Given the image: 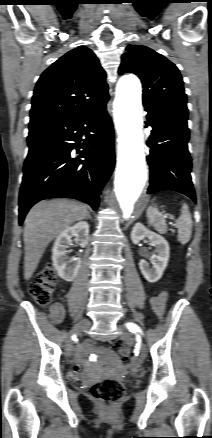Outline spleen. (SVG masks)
Returning <instances> with one entry per match:
<instances>
[{"label":"spleen","instance_id":"spleen-1","mask_svg":"<svg viewBox=\"0 0 212 438\" xmlns=\"http://www.w3.org/2000/svg\"><path fill=\"white\" fill-rule=\"evenodd\" d=\"M147 218L152 226L159 233L164 234L167 232V224L165 216L153 206H149L146 212ZM176 227L178 229V241L181 244L189 242L192 235V217L189 212L187 204H183L181 208V215L176 220Z\"/></svg>","mask_w":212,"mask_h":438}]
</instances>
